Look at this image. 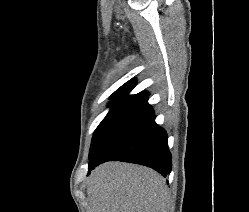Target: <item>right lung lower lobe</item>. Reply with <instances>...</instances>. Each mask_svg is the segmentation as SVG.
Segmentation results:
<instances>
[{"mask_svg":"<svg viewBox=\"0 0 249 212\" xmlns=\"http://www.w3.org/2000/svg\"><path fill=\"white\" fill-rule=\"evenodd\" d=\"M148 95L133 100L111 124L89 157L90 170L107 161H124L153 168L163 177L171 172L167 133L155 123Z\"/></svg>","mask_w":249,"mask_h":212,"instance_id":"98d812e1","label":"right lung lower lobe"}]
</instances>
